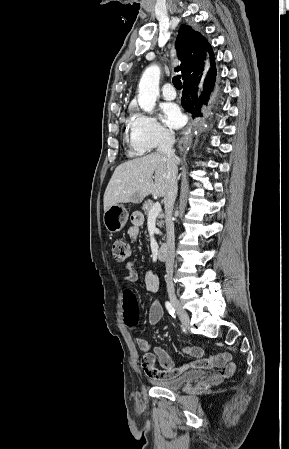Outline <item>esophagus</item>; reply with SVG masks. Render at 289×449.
<instances>
[{
	"instance_id": "34e87169",
	"label": "esophagus",
	"mask_w": 289,
	"mask_h": 449,
	"mask_svg": "<svg viewBox=\"0 0 289 449\" xmlns=\"http://www.w3.org/2000/svg\"><path fill=\"white\" fill-rule=\"evenodd\" d=\"M190 128H191V122H189L188 125L186 126V128L183 132V136L179 141L178 148L181 151L185 148V146L187 144V134L189 133Z\"/></svg>"
}]
</instances>
